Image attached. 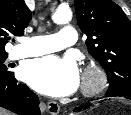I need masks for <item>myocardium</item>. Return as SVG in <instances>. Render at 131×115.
<instances>
[{
	"label": "myocardium",
	"instance_id": "obj_1",
	"mask_svg": "<svg viewBox=\"0 0 131 115\" xmlns=\"http://www.w3.org/2000/svg\"><path fill=\"white\" fill-rule=\"evenodd\" d=\"M108 84L106 71L98 64H89L82 75L81 92L86 97L101 93Z\"/></svg>",
	"mask_w": 131,
	"mask_h": 115
}]
</instances>
